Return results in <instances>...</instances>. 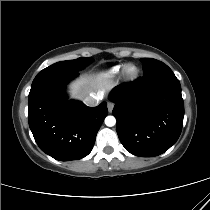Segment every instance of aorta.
Listing matches in <instances>:
<instances>
[{
  "label": "aorta",
  "instance_id": "obj_1",
  "mask_svg": "<svg viewBox=\"0 0 210 210\" xmlns=\"http://www.w3.org/2000/svg\"><path fill=\"white\" fill-rule=\"evenodd\" d=\"M105 124L109 127H112L116 124V119L114 116H107L105 118Z\"/></svg>",
  "mask_w": 210,
  "mask_h": 210
}]
</instances>
